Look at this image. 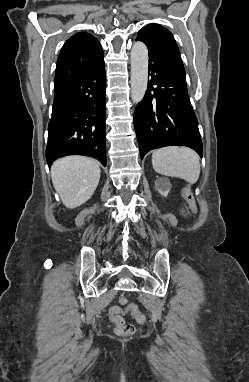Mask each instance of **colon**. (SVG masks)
Returning a JSON list of instances; mask_svg holds the SVG:
<instances>
[{
	"mask_svg": "<svg viewBox=\"0 0 249 382\" xmlns=\"http://www.w3.org/2000/svg\"><path fill=\"white\" fill-rule=\"evenodd\" d=\"M120 304L123 306H128L129 311L131 312L132 316L138 323H145L146 322V316L144 313L140 312L136 305L129 304L128 305V299L125 297H122L120 299ZM124 311L121 307L115 306L112 307L110 310V318L112 322L115 324L116 332L119 335L123 336H130L135 332V327L132 324H125L122 318V314Z\"/></svg>",
	"mask_w": 249,
	"mask_h": 382,
	"instance_id": "1",
	"label": "colon"
}]
</instances>
